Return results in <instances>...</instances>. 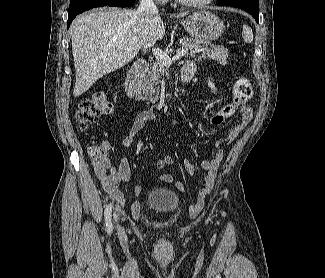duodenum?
Here are the masks:
<instances>
[{"instance_id":"duodenum-1","label":"duodenum","mask_w":325,"mask_h":278,"mask_svg":"<svg viewBox=\"0 0 325 278\" xmlns=\"http://www.w3.org/2000/svg\"><path fill=\"white\" fill-rule=\"evenodd\" d=\"M148 65L144 60L136 61L126 79L125 90L128 97L135 103H140L142 100L141 95V83L142 79L147 71ZM192 66H184L181 73V78L183 82H189L193 77Z\"/></svg>"}]
</instances>
